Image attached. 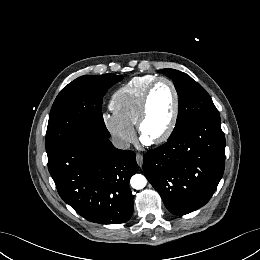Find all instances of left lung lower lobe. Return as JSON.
<instances>
[{
    "mask_svg": "<svg viewBox=\"0 0 260 260\" xmlns=\"http://www.w3.org/2000/svg\"><path fill=\"white\" fill-rule=\"evenodd\" d=\"M225 166L220 116L198 119L165 144L147 151L143 170L166 208L184 215L205 205Z\"/></svg>",
    "mask_w": 260,
    "mask_h": 260,
    "instance_id": "left-lung-lower-lobe-1",
    "label": "left lung lower lobe"
}]
</instances>
